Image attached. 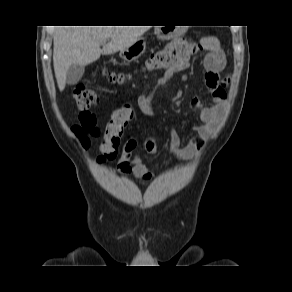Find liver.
I'll use <instances>...</instances> for the list:
<instances>
[{
	"instance_id": "1",
	"label": "liver",
	"mask_w": 292,
	"mask_h": 292,
	"mask_svg": "<svg viewBox=\"0 0 292 292\" xmlns=\"http://www.w3.org/2000/svg\"><path fill=\"white\" fill-rule=\"evenodd\" d=\"M146 26H59L54 34L53 65L60 91L72 65L86 66L101 54L110 55L133 45L147 31ZM110 41L103 46L106 39Z\"/></svg>"
}]
</instances>
